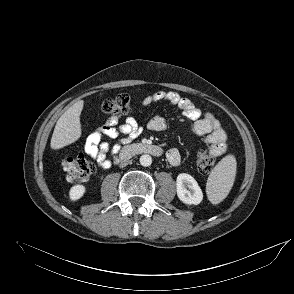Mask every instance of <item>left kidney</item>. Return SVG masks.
<instances>
[{"label": "left kidney", "mask_w": 294, "mask_h": 294, "mask_svg": "<svg viewBox=\"0 0 294 294\" xmlns=\"http://www.w3.org/2000/svg\"><path fill=\"white\" fill-rule=\"evenodd\" d=\"M176 190L178 198L185 204L198 205L203 199V193L197 181L189 174L177 176Z\"/></svg>", "instance_id": "5707ae66"}]
</instances>
